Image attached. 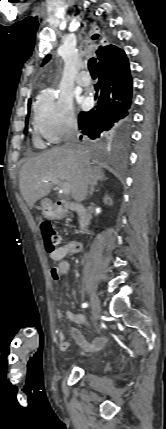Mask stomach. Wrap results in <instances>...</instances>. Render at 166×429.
<instances>
[{"mask_svg":"<svg viewBox=\"0 0 166 429\" xmlns=\"http://www.w3.org/2000/svg\"><path fill=\"white\" fill-rule=\"evenodd\" d=\"M42 213L47 218H54L57 216V213L49 199H43L41 201Z\"/></svg>","mask_w":166,"mask_h":429,"instance_id":"stomach-1","label":"stomach"}]
</instances>
